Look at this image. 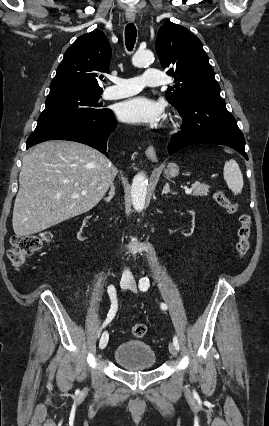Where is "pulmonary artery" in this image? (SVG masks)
<instances>
[{"label": "pulmonary artery", "mask_w": 269, "mask_h": 426, "mask_svg": "<svg viewBox=\"0 0 269 426\" xmlns=\"http://www.w3.org/2000/svg\"><path fill=\"white\" fill-rule=\"evenodd\" d=\"M114 85L108 87L103 97L107 100H116L132 96L142 90L144 86H159L164 83V74L156 68H147L143 74L132 78L113 79Z\"/></svg>", "instance_id": "1"}]
</instances>
